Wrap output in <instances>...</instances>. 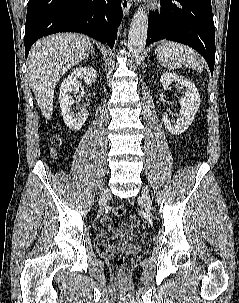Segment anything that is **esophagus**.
I'll return each instance as SVG.
<instances>
[{"label":"esophagus","instance_id":"1","mask_svg":"<svg viewBox=\"0 0 239 303\" xmlns=\"http://www.w3.org/2000/svg\"><path fill=\"white\" fill-rule=\"evenodd\" d=\"M121 6L124 15H128L131 7V1L130 0H121Z\"/></svg>","mask_w":239,"mask_h":303}]
</instances>
